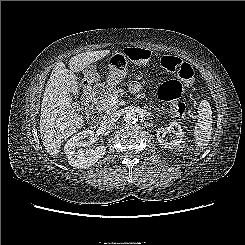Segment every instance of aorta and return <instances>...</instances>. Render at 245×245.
I'll list each match as a JSON object with an SVG mask.
<instances>
[{
    "label": "aorta",
    "instance_id": "aorta-1",
    "mask_svg": "<svg viewBox=\"0 0 245 245\" xmlns=\"http://www.w3.org/2000/svg\"><path fill=\"white\" fill-rule=\"evenodd\" d=\"M124 120L128 124H134L138 121V116L134 111H129L125 114Z\"/></svg>",
    "mask_w": 245,
    "mask_h": 245
}]
</instances>
